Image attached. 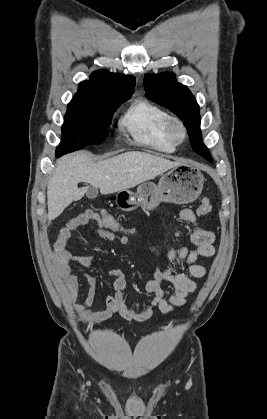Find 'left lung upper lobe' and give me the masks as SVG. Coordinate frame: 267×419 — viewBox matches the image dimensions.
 I'll return each instance as SVG.
<instances>
[{
	"label": "left lung upper lobe",
	"mask_w": 267,
	"mask_h": 419,
	"mask_svg": "<svg viewBox=\"0 0 267 419\" xmlns=\"http://www.w3.org/2000/svg\"><path fill=\"white\" fill-rule=\"evenodd\" d=\"M144 89L150 100L168 108L184 122L193 150L212 162L210 153L202 142L199 106L187 86L177 83L174 74L165 73L145 75Z\"/></svg>",
	"instance_id": "obj_1"
}]
</instances>
